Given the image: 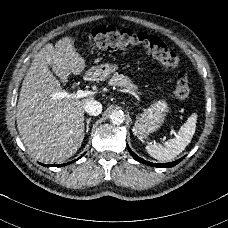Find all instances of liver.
Segmentation results:
<instances>
[{
	"label": "liver",
	"mask_w": 228,
	"mask_h": 228,
	"mask_svg": "<svg viewBox=\"0 0 228 228\" xmlns=\"http://www.w3.org/2000/svg\"><path fill=\"white\" fill-rule=\"evenodd\" d=\"M70 73L80 75L85 60L69 37L55 47L46 44L35 55L24 77L17 104V128L27 149L42 162H62L73 156L84 139V106L92 98H57Z\"/></svg>",
	"instance_id": "liver-1"
}]
</instances>
